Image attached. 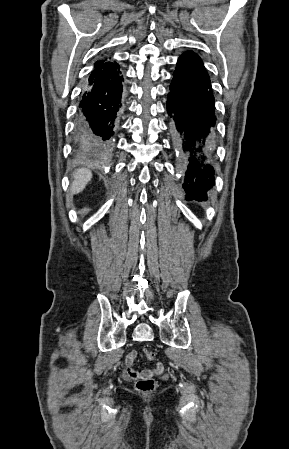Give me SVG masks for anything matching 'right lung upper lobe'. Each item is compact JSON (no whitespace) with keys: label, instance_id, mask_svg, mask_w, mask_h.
Returning <instances> with one entry per match:
<instances>
[{"label":"right lung upper lobe","instance_id":"1","mask_svg":"<svg viewBox=\"0 0 289 449\" xmlns=\"http://www.w3.org/2000/svg\"><path fill=\"white\" fill-rule=\"evenodd\" d=\"M110 65H112V64L108 63V62H104V61H97L95 63V67L110 66Z\"/></svg>","mask_w":289,"mask_h":449}]
</instances>
